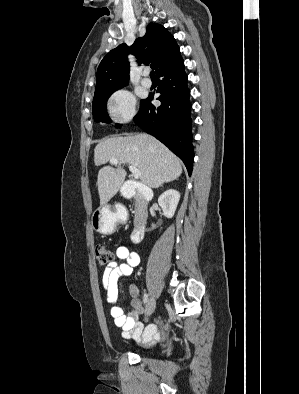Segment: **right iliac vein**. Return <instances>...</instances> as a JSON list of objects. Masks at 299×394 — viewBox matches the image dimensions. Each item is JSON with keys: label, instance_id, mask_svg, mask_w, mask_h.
I'll return each mask as SVG.
<instances>
[{"label": "right iliac vein", "instance_id": "1", "mask_svg": "<svg viewBox=\"0 0 299 394\" xmlns=\"http://www.w3.org/2000/svg\"><path fill=\"white\" fill-rule=\"evenodd\" d=\"M155 306H156V301L154 298H151L146 305L145 315L146 316L151 315L155 310Z\"/></svg>", "mask_w": 299, "mask_h": 394}]
</instances>
